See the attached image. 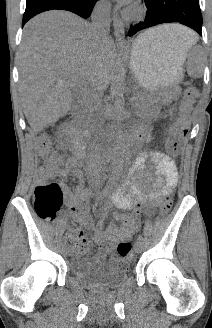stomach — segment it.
<instances>
[{
	"label": "stomach",
	"instance_id": "0dacf381",
	"mask_svg": "<svg viewBox=\"0 0 212 328\" xmlns=\"http://www.w3.org/2000/svg\"><path fill=\"white\" fill-rule=\"evenodd\" d=\"M184 49L166 39L143 37L134 42L130 65L140 85L147 90L178 82L182 77Z\"/></svg>",
	"mask_w": 212,
	"mask_h": 328
}]
</instances>
